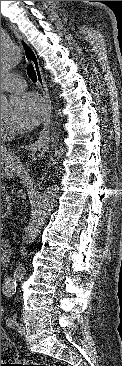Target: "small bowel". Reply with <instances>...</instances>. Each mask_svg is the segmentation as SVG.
<instances>
[{"mask_svg": "<svg viewBox=\"0 0 122 366\" xmlns=\"http://www.w3.org/2000/svg\"><path fill=\"white\" fill-rule=\"evenodd\" d=\"M10 280L11 279H8V282L7 283H10ZM2 313H3V306L1 305V316H2Z\"/></svg>", "mask_w": 122, "mask_h": 366, "instance_id": "c3829d8e", "label": "small bowel"}]
</instances>
